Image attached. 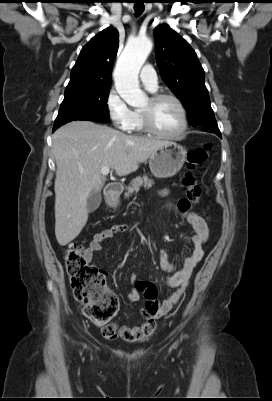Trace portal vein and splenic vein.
<instances>
[{
	"instance_id": "obj_1",
	"label": "portal vein and splenic vein",
	"mask_w": 272,
	"mask_h": 401,
	"mask_svg": "<svg viewBox=\"0 0 272 401\" xmlns=\"http://www.w3.org/2000/svg\"><path fill=\"white\" fill-rule=\"evenodd\" d=\"M109 172H110V168H109V167H102L101 173H102L103 175H108Z\"/></svg>"
}]
</instances>
